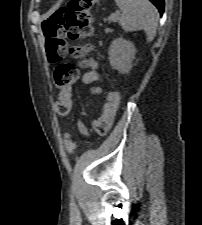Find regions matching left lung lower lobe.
Returning <instances> with one entry per match:
<instances>
[{
    "label": "left lung lower lobe",
    "mask_w": 202,
    "mask_h": 225,
    "mask_svg": "<svg viewBox=\"0 0 202 225\" xmlns=\"http://www.w3.org/2000/svg\"><path fill=\"white\" fill-rule=\"evenodd\" d=\"M159 10L162 15L164 12V0H150Z\"/></svg>",
    "instance_id": "obj_1"
}]
</instances>
